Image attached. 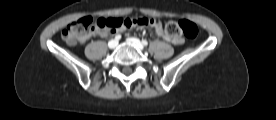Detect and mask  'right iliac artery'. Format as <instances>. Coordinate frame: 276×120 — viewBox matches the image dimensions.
Listing matches in <instances>:
<instances>
[{"label": "right iliac artery", "mask_w": 276, "mask_h": 120, "mask_svg": "<svg viewBox=\"0 0 276 120\" xmlns=\"http://www.w3.org/2000/svg\"><path fill=\"white\" fill-rule=\"evenodd\" d=\"M120 39H121V35L120 34H118V35L115 36V40L116 41H119Z\"/></svg>", "instance_id": "82829eb1"}]
</instances>
